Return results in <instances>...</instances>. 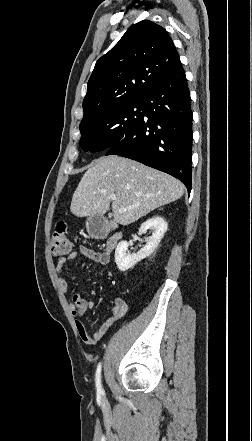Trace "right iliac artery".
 <instances>
[{"instance_id": "right-iliac-artery-1", "label": "right iliac artery", "mask_w": 252, "mask_h": 441, "mask_svg": "<svg viewBox=\"0 0 252 441\" xmlns=\"http://www.w3.org/2000/svg\"><path fill=\"white\" fill-rule=\"evenodd\" d=\"M100 377H101V363H99V365H98V367H97V371H96V387H97V393L100 395V394H103V389H102V386H101V379H100Z\"/></svg>"}]
</instances>
